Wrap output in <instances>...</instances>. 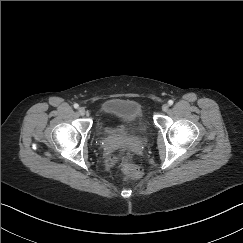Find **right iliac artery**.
<instances>
[{"mask_svg":"<svg viewBox=\"0 0 243 243\" xmlns=\"http://www.w3.org/2000/svg\"><path fill=\"white\" fill-rule=\"evenodd\" d=\"M73 106H74V108H76V109L79 107V105H78L77 103H75Z\"/></svg>","mask_w":243,"mask_h":243,"instance_id":"82829eb1","label":"right iliac artery"}]
</instances>
